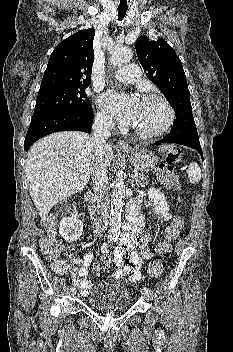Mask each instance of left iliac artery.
<instances>
[{"mask_svg":"<svg viewBox=\"0 0 233 352\" xmlns=\"http://www.w3.org/2000/svg\"><path fill=\"white\" fill-rule=\"evenodd\" d=\"M144 291H145L146 293H150V290H149V288H147V287H144Z\"/></svg>","mask_w":233,"mask_h":352,"instance_id":"left-iliac-artery-1","label":"left iliac artery"}]
</instances>
